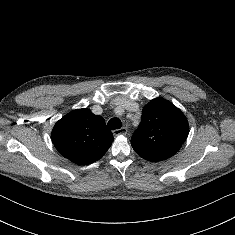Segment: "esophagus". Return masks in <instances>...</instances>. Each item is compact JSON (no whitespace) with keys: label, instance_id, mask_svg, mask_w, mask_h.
Here are the masks:
<instances>
[{"label":"esophagus","instance_id":"1","mask_svg":"<svg viewBox=\"0 0 235 235\" xmlns=\"http://www.w3.org/2000/svg\"><path fill=\"white\" fill-rule=\"evenodd\" d=\"M128 132L127 128L126 127H122L120 129H116L113 131V135L116 137V136H119V135H126Z\"/></svg>","mask_w":235,"mask_h":235}]
</instances>
